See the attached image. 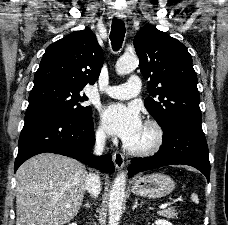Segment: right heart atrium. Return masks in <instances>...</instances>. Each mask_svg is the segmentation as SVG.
I'll use <instances>...</instances> for the list:
<instances>
[{"label":"right heart atrium","instance_id":"d8ad5b80","mask_svg":"<svg viewBox=\"0 0 228 225\" xmlns=\"http://www.w3.org/2000/svg\"><path fill=\"white\" fill-rule=\"evenodd\" d=\"M96 138L99 141H105L107 139V132L102 125H99L95 132Z\"/></svg>","mask_w":228,"mask_h":225}]
</instances>
